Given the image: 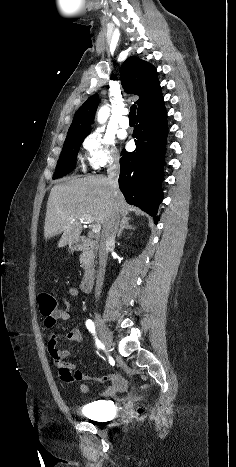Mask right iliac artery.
<instances>
[{"instance_id":"right-iliac-artery-1","label":"right iliac artery","mask_w":236,"mask_h":467,"mask_svg":"<svg viewBox=\"0 0 236 467\" xmlns=\"http://www.w3.org/2000/svg\"><path fill=\"white\" fill-rule=\"evenodd\" d=\"M86 327L87 329L95 336V342H96V346L98 349H100L102 347V343L101 341L96 337V332H95V325H94V322L90 319H88L86 321Z\"/></svg>"}]
</instances>
